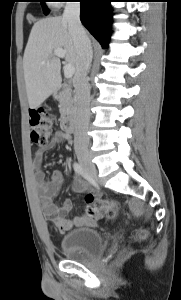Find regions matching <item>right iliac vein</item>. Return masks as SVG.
<instances>
[{"label": "right iliac vein", "instance_id": "right-iliac-vein-1", "mask_svg": "<svg viewBox=\"0 0 181 300\" xmlns=\"http://www.w3.org/2000/svg\"><path fill=\"white\" fill-rule=\"evenodd\" d=\"M77 159L85 169V171L91 176L96 177L97 171L94 163L91 161L88 152H77Z\"/></svg>", "mask_w": 181, "mask_h": 300}]
</instances>
